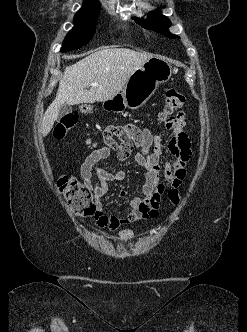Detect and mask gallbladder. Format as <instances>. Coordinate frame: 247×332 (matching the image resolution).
Segmentation results:
<instances>
[{"label": "gallbladder", "instance_id": "obj_1", "mask_svg": "<svg viewBox=\"0 0 247 332\" xmlns=\"http://www.w3.org/2000/svg\"><path fill=\"white\" fill-rule=\"evenodd\" d=\"M72 111V108L70 105L64 103L63 105L60 106L59 109V117H62Z\"/></svg>", "mask_w": 247, "mask_h": 332}]
</instances>
